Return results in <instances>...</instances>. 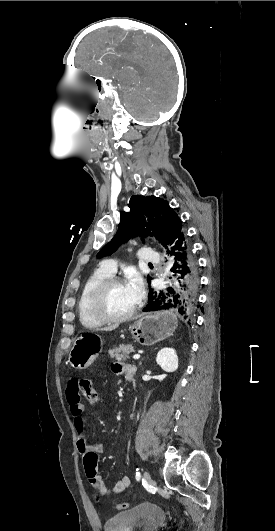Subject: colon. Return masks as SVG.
<instances>
[{
    "label": "colon",
    "mask_w": 275,
    "mask_h": 531,
    "mask_svg": "<svg viewBox=\"0 0 275 531\" xmlns=\"http://www.w3.org/2000/svg\"><path fill=\"white\" fill-rule=\"evenodd\" d=\"M80 392H85V399L91 404H97L99 402V395L97 393V383L91 378L85 377V381L79 383ZM117 510L124 512L128 509V503L121 502L117 504Z\"/></svg>",
    "instance_id": "1"
}]
</instances>
